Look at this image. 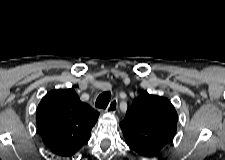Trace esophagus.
Returning a JSON list of instances; mask_svg holds the SVG:
<instances>
[{
	"instance_id": "obj_1",
	"label": "esophagus",
	"mask_w": 225,
	"mask_h": 160,
	"mask_svg": "<svg viewBox=\"0 0 225 160\" xmlns=\"http://www.w3.org/2000/svg\"><path fill=\"white\" fill-rule=\"evenodd\" d=\"M118 108V101L116 98H113L107 107V112L115 113Z\"/></svg>"
}]
</instances>
